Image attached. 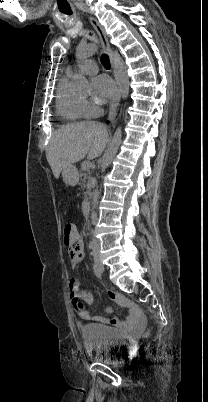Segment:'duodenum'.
<instances>
[{
  "label": "duodenum",
  "mask_w": 208,
  "mask_h": 402,
  "mask_svg": "<svg viewBox=\"0 0 208 402\" xmlns=\"http://www.w3.org/2000/svg\"><path fill=\"white\" fill-rule=\"evenodd\" d=\"M82 210L85 215H88L90 212V202L85 200L82 204Z\"/></svg>",
  "instance_id": "410a0bca"
}]
</instances>
